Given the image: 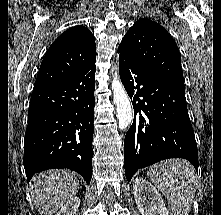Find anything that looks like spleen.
<instances>
[{"instance_id":"obj_1","label":"spleen","mask_w":221,"mask_h":215,"mask_svg":"<svg viewBox=\"0 0 221 215\" xmlns=\"http://www.w3.org/2000/svg\"><path fill=\"white\" fill-rule=\"evenodd\" d=\"M152 183L167 197L170 215H188L198 180L194 167L183 159H168L151 166Z\"/></svg>"}]
</instances>
